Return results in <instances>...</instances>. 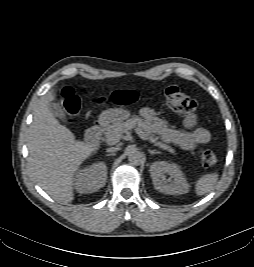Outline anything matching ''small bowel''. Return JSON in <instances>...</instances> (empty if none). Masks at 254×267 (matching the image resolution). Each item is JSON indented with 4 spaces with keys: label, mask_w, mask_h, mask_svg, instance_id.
Wrapping results in <instances>:
<instances>
[{
    "label": "small bowel",
    "mask_w": 254,
    "mask_h": 267,
    "mask_svg": "<svg viewBox=\"0 0 254 267\" xmlns=\"http://www.w3.org/2000/svg\"><path fill=\"white\" fill-rule=\"evenodd\" d=\"M149 128L158 134L163 141L173 143L185 150H192L198 144H206L211 139L210 132L197 127L196 117L188 115L184 121L185 131L169 128L162 120L156 117L153 109L145 107L140 111Z\"/></svg>",
    "instance_id": "c3829d8e"
}]
</instances>
